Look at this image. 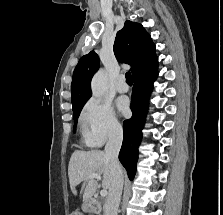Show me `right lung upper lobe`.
Here are the masks:
<instances>
[{"label": "right lung upper lobe", "mask_w": 223, "mask_h": 215, "mask_svg": "<svg viewBox=\"0 0 223 215\" xmlns=\"http://www.w3.org/2000/svg\"><path fill=\"white\" fill-rule=\"evenodd\" d=\"M113 49L119 62L131 65L133 79L158 67L155 45L141 24L126 21L117 32ZM98 68L99 57L94 51L79 60L71 83L73 109L84 105L91 97L90 83Z\"/></svg>", "instance_id": "1"}]
</instances>
